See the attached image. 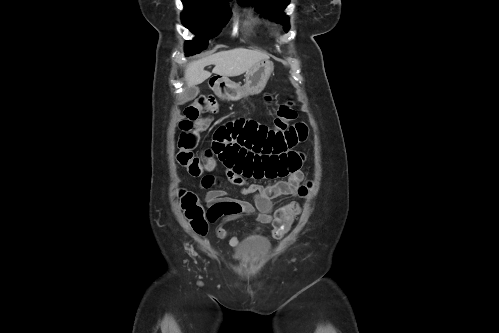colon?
I'll list each match as a JSON object with an SVG mask.
<instances>
[{"label": "colon", "mask_w": 499, "mask_h": 333, "mask_svg": "<svg viewBox=\"0 0 499 333\" xmlns=\"http://www.w3.org/2000/svg\"><path fill=\"white\" fill-rule=\"evenodd\" d=\"M207 106L208 101L204 98L200 99L195 105L186 109V119L180 123L181 134L177 161L192 176L200 175L204 168L210 164L209 161H205L203 157H199L194 153L199 141L198 128L201 126L198 121L199 115ZM296 117L295 105L292 102L282 103L276 110L273 127L276 130H286ZM180 199L182 209L189 220L191 228L197 234H205L210 221L208 211L205 210L198 196L189 191H182ZM299 213L300 205L297 202H290L277 209L273 222L274 237L280 238L289 231Z\"/></svg>", "instance_id": "obj_1"}]
</instances>
